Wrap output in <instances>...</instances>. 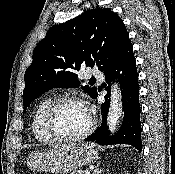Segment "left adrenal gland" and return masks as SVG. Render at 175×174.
Returning a JSON list of instances; mask_svg holds the SVG:
<instances>
[{
	"label": "left adrenal gland",
	"mask_w": 175,
	"mask_h": 174,
	"mask_svg": "<svg viewBox=\"0 0 175 174\" xmlns=\"http://www.w3.org/2000/svg\"><path fill=\"white\" fill-rule=\"evenodd\" d=\"M100 163L97 164V166L95 167L94 171L92 174H100L101 170L99 169Z\"/></svg>",
	"instance_id": "1"
}]
</instances>
